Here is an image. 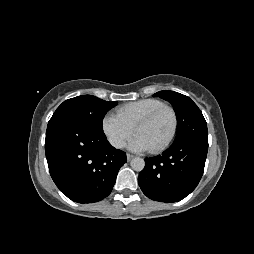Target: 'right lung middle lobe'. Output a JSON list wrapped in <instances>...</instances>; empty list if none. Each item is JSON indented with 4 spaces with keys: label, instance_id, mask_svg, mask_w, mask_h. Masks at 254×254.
I'll use <instances>...</instances> for the list:
<instances>
[{
    "label": "right lung middle lobe",
    "instance_id": "1",
    "mask_svg": "<svg viewBox=\"0 0 254 254\" xmlns=\"http://www.w3.org/2000/svg\"><path fill=\"white\" fill-rule=\"evenodd\" d=\"M115 105L116 101L108 102L91 95L78 96L64 101L49 122L67 118L103 130V118Z\"/></svg>",
    "mask_w": 254,
    "mask_h": 254
}]
</instances>
